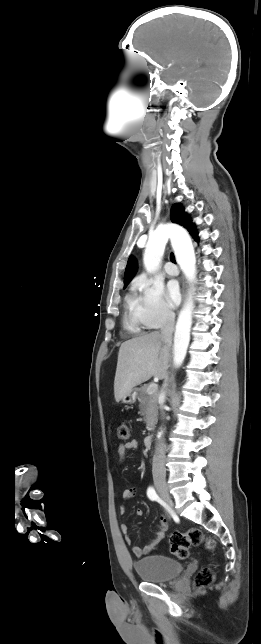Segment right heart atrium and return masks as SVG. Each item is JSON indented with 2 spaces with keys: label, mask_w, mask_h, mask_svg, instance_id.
Masks as SVG:
<instances>
[{
  "label": "right heart atrium",
  "mask_w": 261,
  "mask_h": 644,
  "mask_svg": "<svg viewBox=\"0 0 261 644\" xmlns=\"http://www.w3.org/2000/svg\"><path fill=\"white\" fill-rule=\"evenodd\" d=\"M136 292V313L147 328H159L173 322L174 313L166 301L163 287L144 276L133 284Z\"/></svg>",
  "instance_id": "right-heart-atrium-1"
}]
</instances>
